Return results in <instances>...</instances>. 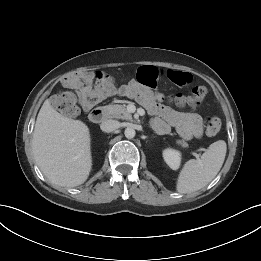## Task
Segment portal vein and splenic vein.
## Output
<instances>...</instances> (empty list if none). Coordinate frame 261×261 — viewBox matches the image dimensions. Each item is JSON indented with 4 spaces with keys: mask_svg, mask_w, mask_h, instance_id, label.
<instances>
[{
    "mask_svg": "<svg viewBox=\"0 0 261 261\" xmlns=\"http://www.w3.org/2000/svg\"><path fill=\"white\" fill-rule=\"evenodd\" d=\"M200 150H203V148H201ZM193 155L196 157V158H199V154L194 152Z\"/></svg>",
    "mask_w": 261,
    "mask_h": 261,
    "instance_id": "18ae733b",
    "label": "portal vein and splenic vein"
}]
</instances>
